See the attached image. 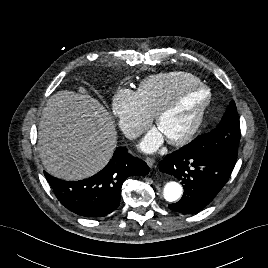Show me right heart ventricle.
Listing matches in <instances>:
<instances>
[{
  "instance_id": "obj_1",
  "label": "right heart ventricle",
  "mask_w": 268,
  "mask_h": 268,
  "mask_svg": "<svg viewBox=\"0 0 268 268\" xmlns=\"http://www.w3.org/2000/svg\"><path fill=\"white\" fill-rule=\"evenodd\" d=\"M200 79L182 71L163 72L144 79L138 88L147 109L152 115L172 97L181 87L198 84Z\"/></svg>"
}]
</instances>
